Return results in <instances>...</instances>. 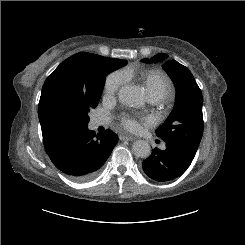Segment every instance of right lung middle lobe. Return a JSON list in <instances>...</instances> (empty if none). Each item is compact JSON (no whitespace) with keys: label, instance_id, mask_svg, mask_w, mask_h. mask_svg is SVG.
<instances>
[{"label":"right lung middle lobe","instance_id":"dd1d6c3e","mask_svg":"<svg viewBox=\"0 0 245 245\" xmlns=\"http://www.w3.org/2000/svg\"><path fill=\"white\" fill-rule=\"evenodd\" d=\"M114 58L95 55L87 62L95 81L92 98L85 99L70 93L63 85H53L46 92L44 112L47 119L57 128L77 132L87 128L90 109L95 108L101 97L105 76L119 67L125 66Z\"/></svg>","mask_w":245,"mask_h":245}]
</instances>
